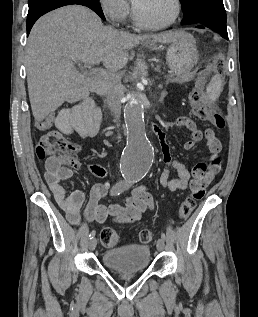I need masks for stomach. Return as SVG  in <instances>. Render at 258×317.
Listing matches in <instances>:
<instances>
[{
  "mask_svg": "<svg viewBox=\"0 0 258 317\" xmlns=\"http://www.w3.org/2000/svg\"><path fill=\"white\" fill-rule=\"evenodd\" d=\"M144 46L151 48V50H164L166 48V62L171 72L181 74V78H187L191 68L198 60L195 38L185 30H181L179 40L171 42L168 46L155 44L154 40H146Z\"/></svg>",
  "mask_w": 258,
  "mask_h": 317,
  "instance_id": "1",
  "label": "stomach"
}]
</instances>
